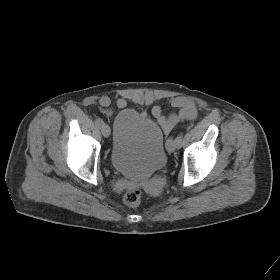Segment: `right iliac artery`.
<instances>
[{
    "label": "right iliac artery",
    "mask_w": 280,
    "mask_h": 280,
    "mask_svg": "<svg viewBox=\"0 0 280 280\" xmlns=\"http://www.w3.org/2000/svg\"><path fill=\"white\" fill-rule=\"evenodd\" d=\"M95 124H96V126L101 127L104 124V122L101 118H97L95 120Z\"/></svg>",
    "instance_id": "1"
}]
</instances>
